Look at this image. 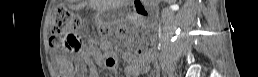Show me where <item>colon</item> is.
Masks as SVG:
<instances>
[{
  "instance_id": "1",
  "label": "colon",
  "mask_w": 258,
  "mask_h": 77,
  "mask_svg": "<svg viewBox=\"0 0 258 77\" xmlns=\"http://www.w3.org/2000/svg\"><path fill=\"white\" fill-rule=\"evenodd\" d=\"M50 32L56 37L59 46L68 51H78L84 46V28L81 19L63 7L54 10L50 23ZM101 34H107V29H101ZM120 37L127 36L125 28H119ZM139 39L134 43L136 50L145 51L148 47L147 34L140 32ZM90 42V41H88Z\"/></svg>"
}]
</instances>
